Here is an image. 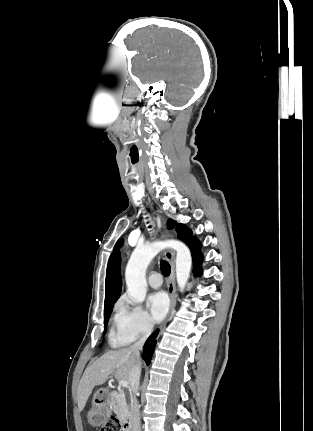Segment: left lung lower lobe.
Segmentation results:
<instances>
[{"instance_id": "left-lung-lower-lobe-1", "label": "left lung lower lobe", "mask_w": 313, "mask_h": 431, "mask_svg": "<svg viewBox=\"0 0 313 431\" xmlns=\"http://www.w3.org/2000/svg\"><path fill=\"white\" fill-rule=\"evenodd\" d=\"M187 246L191 250L192 258H193V272L195 275H200L202 273V270L200 269V264L203 260V256L200 253L199 249L201 247V243L197 240V238H193Z\"/></svg>"}]
</instances>
